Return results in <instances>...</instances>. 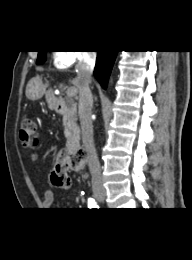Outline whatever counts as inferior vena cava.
I'll use <instances>...</instances> for the list:
<instances>
[{
    "label": "inferior vena cava",
    "instance_id": "obj_1",
    "mask_svg": "<svg viewBox=\"0 0 192 260\" xmlns=\"http://www.w3.org/2000/svg\"><path fill=\"white\" fill-rule=\"evenodd\" d=\"M95 61L96 53L94 51L85 52L82 59L76 65V71L79 80V118L82 128V138L88 145L91 153L89 167L92 177V187L102 188L100 162L93 142V124L91 119L93 96L89 87Z\"/></svg>",
    "mask_w": 192,
    "mask_h": 260
}]
</instances>
